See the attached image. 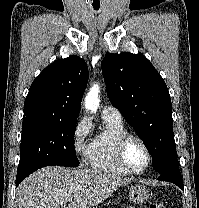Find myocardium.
<instances>
[{
  "instance_id": "1",
  "label": "myocardium",
  "mask_w": 199,
  "mask_h": 208,
  "mask_svg": "<svg viewBox=\"0 0 199 208\" xmlns=\"http://www.w3.org/2000/svg\"><path fill=\"white\" fill-rule=\"evenodd\" d=\"M130 140H137L141 143V145L144 147L146 154H147V161L145 165L140 169H134L129 166V164L126 161L125 158V149ZM116 159L119 165L126 170L130 174H140L144 172L151 164L152 162V153L151 150L147 144V142L139 135L133 134V133H126L123 135L117 142L116 145Z\"/></svg>"
}]
</instances>
